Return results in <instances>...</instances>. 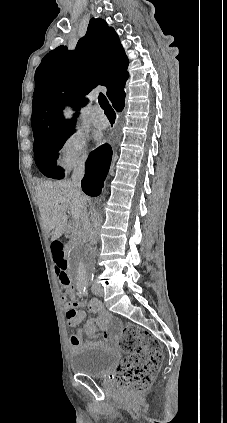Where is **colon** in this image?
I'll use <instances>...</instances> for the list:
<instances>
[{"instance_id":"5ec220e1","label":"colon","mask_w":227,"mask_h":423,"mask_svg":"<svg viewBox=\"0 0 227 423\" xmlns=\"http://www.w3.org/2000/svg\"><path fill=\"white\" fill-rule=\"evenodd\" d=\"M56 275L64 291L70 285L66 273L63 244L55 240L51 244ZM121 350L127 354L124 361L118 366L115 379L119 386L131 393H142L152 385L156 373L162 363V349L156 338L147 330L128 325L122 329Z\"/></svg>"}]
</instances>
